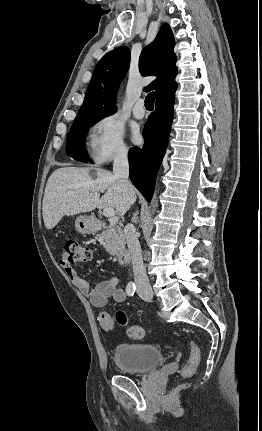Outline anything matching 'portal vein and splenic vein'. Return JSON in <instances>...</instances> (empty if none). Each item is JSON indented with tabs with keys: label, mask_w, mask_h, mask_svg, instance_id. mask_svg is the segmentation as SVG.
<instances>
[{
	"label": "portal vein and splenic vein",
	"mask_w": 262,
	"mask_h": 431,
	"mask_svg": "<svg viewBox=\"0 0 262 431\" xmlns=\"http://www.w3.org/2000/svg\"><path fill=\"white\" fill-rule=\"evenodd\" d=\"M103 215H104L105 217H108V218H112V219H114V216H115V210H114L113 208H105V209L103 210Z\"/></svg>",
	"instance_id": "portal-vein-and-splenic-vein-1"
}]
</instances>
